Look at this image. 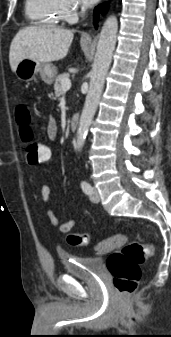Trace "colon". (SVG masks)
<instances>
[{"label":"colon","instance_id":"5ec220e1","mask_svg":"<svg viewBox=\"0 0 171 337\" xmlns=\"http://www.w3.org/2000/svg\"><path fill=\"white\" fill-rule=\"evenodd\" d=\"M16 120L20 125L26 162L29 165H37L50 161L53 150L48 149V144H43L34 138L33 129L30 126V113L25 104L18 106ZM89 240L87 233H71L67 236V242L74 246H85ZM94 250L98 254L110 253L107 267L113 277L114 288L119 296L126 297L136 290L141 277L140 264L152 254L153 249L148 244L127 243L126 235L120 233L99 241Z\"/></svg>","mask_w":171,"mask_h":337}]
</instances>
